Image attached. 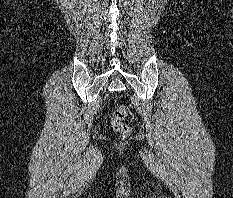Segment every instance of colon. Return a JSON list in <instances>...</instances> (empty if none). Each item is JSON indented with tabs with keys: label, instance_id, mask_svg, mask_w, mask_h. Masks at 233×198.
<instances>
[{
	"label": "colon",
	"instance_id": "obj_1",
	"mask_svg": "<svg viewBox=\"0 0 233 198\" xmlns=\"http://www.w3.org/2000/svg\"><path fill=\"white\" fill-rule=\"evenodd\" d=\"M127 116V108L120 105L114 112L111 118V126L114 131L119 133L122 137H128L131 134V128L125 123Z\"/></svg>",
	"mask_w": 233,
	"mask_h": 198
}]
</instances>
